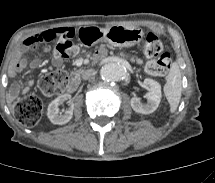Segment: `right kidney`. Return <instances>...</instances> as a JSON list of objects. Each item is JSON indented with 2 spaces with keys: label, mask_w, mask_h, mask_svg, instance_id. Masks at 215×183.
Instances as JSON below:
<instances>
[{
  "label": "right kidney",
  "mask_w": 215,
  "mask_h": 183,
  "mask_svg": "<svg viewBox=\"0 0 215 183\" xmlns=\"http://www.w3.org/2000/svg\"><path fill=\"white\" fill-rule=\"evenodd\" d=\"M64 102H67L69 107L62 114L59 113V106ZM73 103L70 94H63L54 99L49 105L47 109V116L53 124L64 125L68 123L73 116Z\"/></svg>",
  "instance_id": "1"
}]
</instances>
